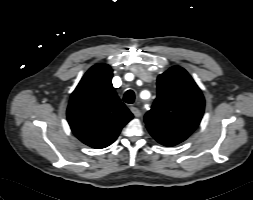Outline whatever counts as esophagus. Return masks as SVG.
<instances>
[{"label": "esophagus", "mask_w": 253, "mask_h": 200, "mask_svg": "<svg viewBox=\"0 0 253 200\" xmlns=\"http://www.w3.org/2000/svg\"><path fill=\"white\" fill-rule=\"evenodd\" d=\"M130 110L134 114V116H136V117H140L141 116V112H140V110L137 107L132 106L130 108Z\"/></svg>", "instance_id": "obj_1"}]
</instances>
